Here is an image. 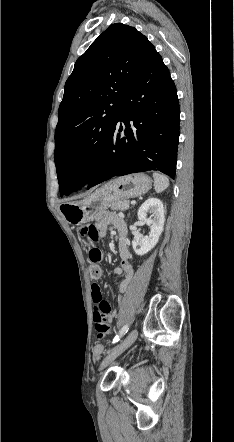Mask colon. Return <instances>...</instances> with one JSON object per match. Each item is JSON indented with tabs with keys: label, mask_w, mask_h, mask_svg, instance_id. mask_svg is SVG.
<instances>
[{
	"label": "colon",
	"mask_w": 234,
	"mask_h": 442,
	"mask_svg": "<svg viewBox=\"0 0 234 442\" xmlns=\"http://www.w3.org/2000/svg\"><path fill=\"white\" fill-rule=\"evenodd\" d=\"M81 234L87 236L89 239V248H88V256L91 261V265L89 268L90 276L93 279H99L102 274L101 267L99 266V262L101 260V251L93 245V242L98 239V232L95 226L87 225L81 229ZM92 300L94 303V314H107L110 311V304L103 299L101 290L98 286H95L92 290ZM97 330V328H96ZM104 347L101 345V342H98L97 345L94 346L93 354L95 360L100 362L102 360Z\"/></svg>",
	"instance_id": "colon-1"
}]
</instances>
